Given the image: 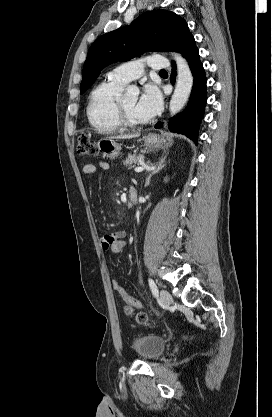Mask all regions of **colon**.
I'll return each mask as SVG.
<instances>
[{
	"mask_svg": "<svg viewBox=\"0 0 272 417\" xmlns=\"http://www.w3.org/2000/svg\"><path fill=\"white\" fill-rule=\"evenodd\" d=\"M78 152L81 155H93L95 153V147L91 140L83 136L78 141ZM127 248V241L124 237L113 239L109 245L107 251L112 255H118L125 251ZM113 290L123 298L126 303V312L131 314L134 309H140L141 303L138 299L132 297L127 291L121 286L117 280L112 281ZM146 316L143 313L137 315V320L141 323L146 321Z\"/></svg>",
	"mask_w": 272,
	"mask_h": 417,
	"instance_id": "5ec220e1",
	"label": "colon"
}]
</instances>
